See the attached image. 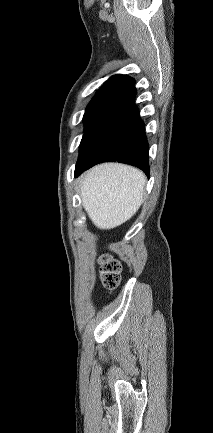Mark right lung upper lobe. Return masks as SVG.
I'll list each match as a JSON object with an SVG mask.
<instances>
[{
    "instance_id": "obj_1",
    "label": "right lung upper lobe",
    "mask_w": 213,
    "mask_h": 433,
    "mask_svg": "<svg viewBox=\"0 0 213 433\" xmlns=\"http://www.w3.org/2000/svg\"><path fill=\"white\" fill-rule=\"evenodd\" d=\"M135 84V80L125 75H115L106 81L102 87L96 92L95 97L99 96H117L121 92L126 91Z\"/></svg>"
}]
</instances>
